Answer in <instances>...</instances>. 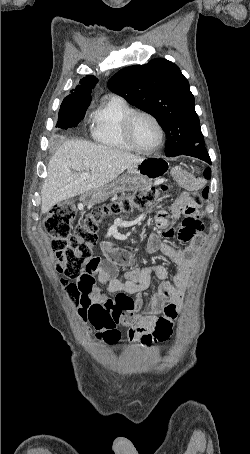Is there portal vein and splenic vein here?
I'll use <instances>...</instances> for the list:
<instances>
[{"label":"portal vein and splenic vein","mask_w":250,"mask_h":454,"mask_svg":"<svg viewBox=\"0 0 250 454\" xmlns=\"http://www.w3.org/2000/svg\"><path fill=\"white\" fill-rule=\"evenodd\" d=\"M89 177H90V173H89V172L80 174L81 180H86V179H88Z\"/></svg>","instance_id":"1"}]
</instances>
